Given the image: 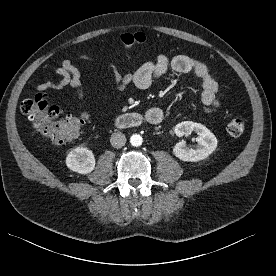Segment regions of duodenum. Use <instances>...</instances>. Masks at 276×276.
I'll use <instances>...</instances> for the list:
<instances>
[{
  "label": "duodenum",
  "mask_w": 276,
  "mask_h": 276,
  "mask_svg": "<svg viewBox=\"0 0 276 276\" xmlns=\"http://www.w3.org/2000/svg\"><path fill=\"white\" fill-rule=\"evenodd\" d=\"M162 119L159 118L157 120L151 119L145 115L136 113V112H130V113H124L117 117V125L122 128H133V127H139L143 124H158L160 123Z\"/></svg>",
  "instance_id": "1"
}]
</instances>
